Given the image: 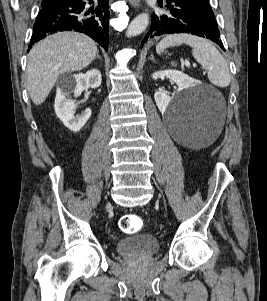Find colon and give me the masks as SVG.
Listing matches in <instances>:
<instances>
[{
    "mask_svg": "<svg viewBox=\"0 0 267 301\" xmlns=\"http://www.w3.org/2000/svg\"><path fill=\"white\" fill-rule=\"evenodd\" d=\"M121 231L133 234L139 232L143 227V220L136 214H126L119 221Z\"/></svg>",
    "mask_w": 267,
    "mask_h": 301,
    "instance_id": "1",
    "label": "colon"
}]
</instances>
